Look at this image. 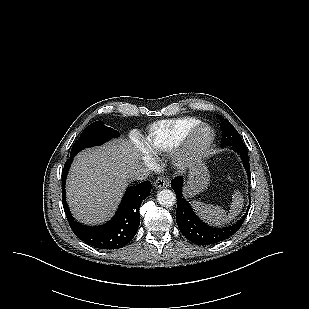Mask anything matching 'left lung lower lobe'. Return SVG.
I'll return each instance as SVG.
<instances>
[{"mask_svg": "<svg viewBox=\"0 0 309 309\" xmlns=\"http://www.w3.org/2000/svg\"><path fill=\"white\" fill-rule=\"evenodd\" d=\"M241 157L245 169L247 170L248 179L250 180V166L248 152L244 143L229 145ZM221 147H226L222 146ZM171 187L177 195L176 221L181 233L191 242L197 245H212L226 240L234 235L242 226L247 213L237 223L225 227L214 228L205 224L192 210L190 204L183 198L182 187L183 178L175 177L171 182ZM248 206L247 212L249 211Z\"/></svg>", "mask_w": 309, "mask_h": 309, "instance_id": "left-lung-lower-lobe-1", "label": "left lung lower lobe"}]
</instances>
